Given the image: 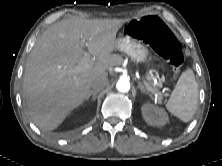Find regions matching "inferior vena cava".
<instances>
[{
	"mask_svg": "<svg viewBox=\"0 0 222 166\" xmlns=\"http://www.w3.org/2000/svg\"><path fill=\"white\" fill-rule=\"evenodd\" d=\"M109 84L107 77L97 78L93 81L91 87L93 91L98 92L104 88H106Z\"/></svg>",
	"mask_w": 222,
	"mask_h": 166,
	"instance_id": "602c4592",
	"label": "inferior vena cava"
}]
</instances>
